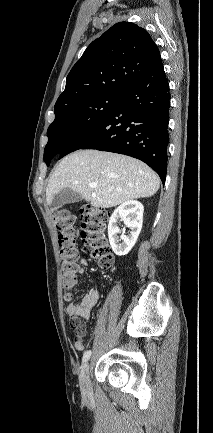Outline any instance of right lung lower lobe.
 <instances>
[{
  "label": "right lung lower lobe",
  "instance_id": "right-lung-lower-lobe-1",
  "mask_svg": "<svg viewBox=\"0 0 213 433\" xmlns=\"http://www.w3.org/2000/svg\"><path fill=\"white\" fill-rule=\"evenodd\" d=\"M169 83L161 57L114 109L95 127L72 142L59 158L79 150L97 149L142 160L166 179L169 142Z\"/></svg>",
  "mask_w": 213,
  "mask_h": 433
}]
</instances>
